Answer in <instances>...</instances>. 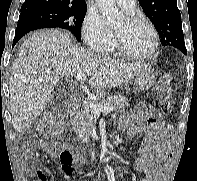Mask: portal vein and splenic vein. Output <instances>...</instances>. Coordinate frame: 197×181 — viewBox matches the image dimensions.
I'll return each mask as SVG.
<instances>
[{
	"mask_svg": "<svg viewBox=\"0 0 197 181\" xmlns=\"http://www.w3.org/2000/svg\"><path fill=\"white\" fill-rule=\"evenodd\" d=\"M76 79L78 81H84L86 79V75L83 73H79L76 75ZM89 107L92 109L95 116H100L101 113L108 114V113L113 112L112 107L97 106L96 104H93L92 102H89Z\"/></svg>",
	"mask_w": 197,
	"mask_h": 181,
	"instance_id": "1",
	"label": "portal vein and splenic vein"
}]
</instances>
